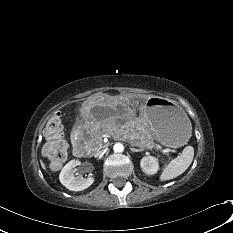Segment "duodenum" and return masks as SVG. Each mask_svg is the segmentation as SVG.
Returning a JSON list of instances; mask_svg holds the SVG:
<instances>
[{"mask_svg":"<svg viewBox=\"0 0 233 233\" xmlns=\"http://www.w3.org/2000/svg\"><path fill=\"white\" fill-rule=\"evenodd\" d=\"M72 147H73V152L77 156H83L84 155L85 149H84V146H83L82 142L78 138L77 131L74 132L73 137H72Z\"/></svg>","mask_w":233,"mask_h":233,"instance_id":"obj_1","label":"duodenum"}]
</instances>
